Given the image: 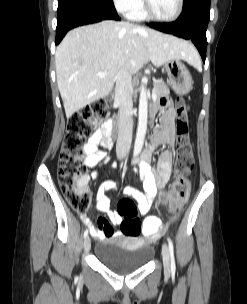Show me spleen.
Masks as SVG:
<instances>
[{"label":"spleen","mask_w":247,"mask_h":304,"mask_svg":"<svg viewBox=\"0 0 247 304\" xmlns=\"http://www.w3.org/2000/svg\"><path fill=\"white\" fill-rule=\"evenodd\" d=\"M192 65H194L197 69L201 68V62L199 60V57H198V60L194 64H192Z\"/></svg>","instance_id":"3e777b00"}]
</instances>
